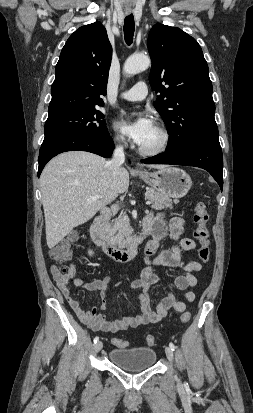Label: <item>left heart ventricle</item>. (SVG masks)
Masks as SVG:
<instances>
[{"label":"left heart ventricle","mask_w":253,"mask_h":413,"mask_svg":"<svg viewBox=\"0 0 253 413\" xmlns=\"http://www.w3.org/2000/svg\"><path fill=\"white\" fill-rule=\"evenodd\" d=\"M161 135L157 128L154 126L152 131L146 137V139L140 144L144 148H153L159 144Z\"/></svg>","instance_id":"obj_1"}]
</instances>
